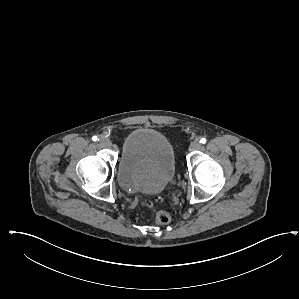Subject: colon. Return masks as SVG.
Masks as SVG:
<instances>
[{
    "label": "colon",
    "mask_w": 299,
    "mask_h": 299,
    "mask_svg": "<svg viewBox=\"0 0 299 299\" xmlns=\"http://www.w3.org/2000/svg\"><path fill=\"white\" fill-rule=\"evenodd\" d=\"M142 205L145 206V207H148V208H152L154 207V202L152 201H143L142 202ZM155 221L158 223V224H161V225H166V224H169L170 221H171V217L170 215L165 212V211H158L156 214H155Z\"/></svg>",
    "instance_id": "5ec220e1"
}]
</instances>
